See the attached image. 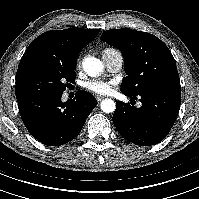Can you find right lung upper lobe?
I'll use <instances>...</instances> for the list:
<instances>
[{
  "label": "right lung upper lobe",
  "instance_id": "cb5924a9",
  "mask_svg": "<svg viewBox=\"0 0 199 199\" xmlns=\"http://www.w3.org/2000/svg\"><path fill=\"white\" fill-rule=\"evenodd\" d=\"M99 32V29L82 28L51 30L38 36L28 46L23 56L41 53L60 62H76L82 48L92 42Z\"/></svg>",
  "mask_w": 199,
  "mask_h": 199
}]
</instances>
